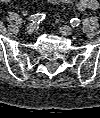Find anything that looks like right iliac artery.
<instances>
[{"label": "right iliac artery", "instance_id": "right-iliac-artery-1", "mask_svg": "<svg viewBox=\"0 0 100 118\" xmlns=\"http://www.w3.org/2000/svg\"><path fill=\"white\" fill-rule=\"evenodd\" d=\"M45 16L46 15L43 13H37V14L29 16L28 20L33 23H40L42 20L45 19Z\"/></svg>", "mask_w": 100, "mask_h": 118}]
</instances>
